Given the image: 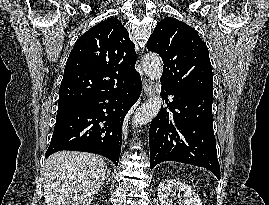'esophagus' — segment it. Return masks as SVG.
Returning <instances> with one entry per match:
<instances>
[{
    "label": "esophagus",
    "instance_id": "esophagus-1",
    "mask_svg": "<svg viewBox=\"0 0 269 205\" xmlns=\"http://www.w3.org/2000/svg\"><path fill=\"white\" fill-rule=\"evenodd\" d=\"M144 95L150 97L155 94V87L150 80L144 79L143 82Z\"/></svg>",
    "mask_w": 269,
    "mask_h": 205
}]
</instances>
